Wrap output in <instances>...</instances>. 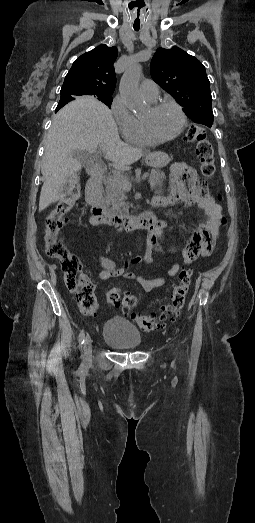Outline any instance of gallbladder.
I'll list each match as a JSON object with an SVG mask.
<instances>
[{"label": "gallbladder", "mask_w": 255, "mask_h": 523, "mask_svg": "<svg viewBox=\"0 0 255 523\" xmlns=\"http://www.w3.org/2000/svg\"><path fill=\"white\" fill-rule=\"evenodd\" d=\"M72 158H75V160H78L82 166H87L89 162H92L91 156L89 154H86V152H83V150H75L73 152Z\"/></svg>", "instance_id": "1"}]
</instances>
